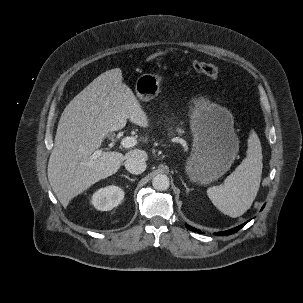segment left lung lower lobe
<instances>
[{"label":"left lung lower lobe","mask_w":303,"mask_h":303,"mask_svg":"<svg viewBox=\"0 0 303 303\" xmlns=\"http://www.w3.org/2000/svg\"><path fill=\"white\" fill-rule=\"evenodd\" d=\"M263 208H264V206L262 207V209H263ZM246 223H247V222H245L244 224H242V225H240V226H237V227H235V228H233V229L227 230V231L218 232L217 235H229V234H233V233L237 232L238 230H240ZM186 227H187L189 230L193 231V232L201 233V231L196 230V228H193V227H191V226H189V225H187V224H186Z\"/></svg>","instance_id":"obj_1"}]
</instances>
